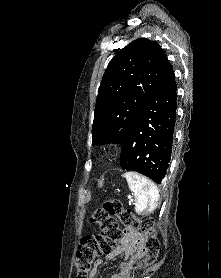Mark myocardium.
I'll list each match as a JSON object with an SVG mask.
<instances>
[{"label":"myocardium","mask_w":221,"mask_h":278,"mask_svg":"<svg viewBox=\"0 0 221 278\" xmlns=\"http://www.w3.org/2000/svg\"><path fill=\"white\" fill-rule=\"evenodd\" d=\"M114 155V148L112 145H105L101 148V156L104 159H110Z\"/></svg>","instance_id":"1"}]
</instances>
